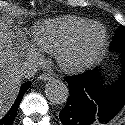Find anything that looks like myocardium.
<instances>
[{
	"label": "myocardium",
	"instance_id": "f54148a6",
	"mask_svg": "<svg viewBox=\"0 0 125 125\" xmlns=\"http://www.w3.org/2000/svg\"><path fill=\"white\" fill-rule=\"evenodd\" d=\"M93 31L98 32V38L88 52H81L85 37ZM107 41L106 28L99 22H89L60 46L56 52V60L66 73L81 72L100 59L106 48Z\"/></svg>",
	"mask_w": 125,
	"mask_h": 125
}]
</instances>
